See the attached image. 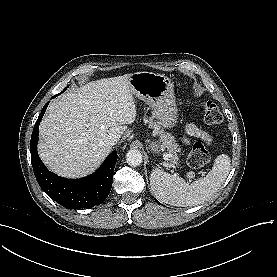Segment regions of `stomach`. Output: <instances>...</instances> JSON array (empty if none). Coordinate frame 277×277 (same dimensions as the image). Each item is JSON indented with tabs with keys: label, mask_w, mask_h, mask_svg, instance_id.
<instances>
[{
	"label": "stomach",
	"mask_w": 277,
	"mask_h": 277,
	"mask_svg": "<svg viewBox=\"0 0 277 277\" xmlns=\"http://www.w3.org/2000/svg\"><path fill=\"white\" fill-rule=\"evenodd\" d=\"M131 92L138 99L147 103L157 123L164 128H172L177 123L178 109L176 107L173 83L164 74L154 72H137L129 79ZM155 154L160 152L159 142L149 145Z\"/></svg>",
	"instance_id": "1"
}]
</instances>
